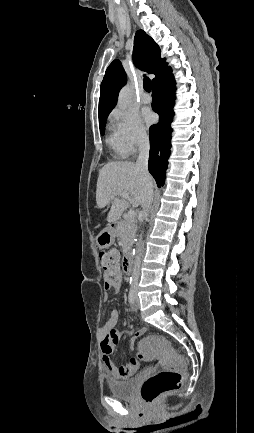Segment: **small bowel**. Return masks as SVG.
Instances as JSON below:
<instances>
[{
  "instance_id": "1",
  "label": "small bowel",
  "mask_w": 254,
  "mask_h": 433,
  "mask_svg": "<svg viewBox=\"0 0 254 433\" xmlns=\"http://www.w3.org/2000/svg\"><path fill=\"white\" fill-rule=\"evenodd\" d=\"M121 286L120 275L116 277H109L106 275L104 280L105 290L115 287L119 289ZM119 319V312L117 310L110 311L108 319L101 328L102 341L101 349L103 351V362L113 379L125 380L131 378L139 369L140 362L137 358L132 357L128 364L125 366H117L111 359V355L116 349V346L123 336L132 335L128 343V350H132L134 341L143 335V330L135 331L130 329L119 330L116 325Z\"/></svg>"
}]
</instances>
